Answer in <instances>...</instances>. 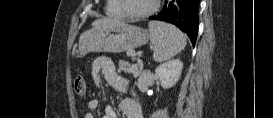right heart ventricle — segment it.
I'll return each instance as SVG.
<instances>
[{"instance_id": "right-heart-ventricle-1", "label": "right heart ventricle", "mask_w": 273, "mask_h": 118, "mask_svg": "<svg viewBox=\"0 0 273 118\" xmlns=\"http://www.w3.org/2000/svg\"><path fill=\"white\" fill-rule=\"evenodd\" d=\"M105 12L108 16L123 17L125 14L120 8L119 0H108L105 6Z\"/></svg>"}]
</instances>
